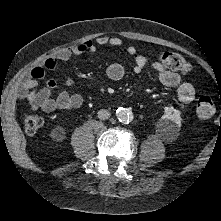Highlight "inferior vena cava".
Returning a JSON list of instances; mask_svg holds the SVG:
<instances>
[{
    "mask_svg": "<svg viewBox=\"0 0 221 221\" xmlns=\"http://www.w3.org/2000/svg\"><path fill=\"white\" fill-rule=\"evenodd\" d=\"M110 117V112L106 109H100L98 111V118L100 120H107Z\"/></svg>",
    "mask_w": 221,
    "mask_h": 221,
    "instance_id": "obj_1",
    "label": "inferior vena cava"
}]
</instances>
